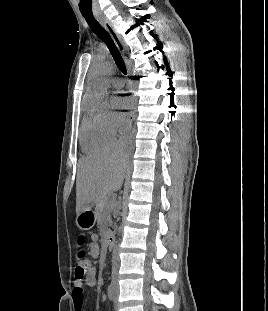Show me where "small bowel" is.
I'll list each match as a JSON object with an SVG mask.
<instances>
[{"instance_id":"obj_1","label":"small bowel","mask_w":268,"mask_h":311,"mask_svg":"<svg viewBox=\"0 0 268 311\" xmlns=\"http://www.w3.org/2000/svg\"><path fill=\"white\" fill-rule=\"evenodd\" d=\"M89 252L91 257L97 261L100 256V246L98 243V236L92 235L91 242L89 244ZM97 284V270L95 266H91L84 280H76L74 283V289L72 292V299L74 303L75 311L83 310V288L84 286L94 287ZM101 299L105 300V294L100 292Z\"/></svg>"}]
</instances>
